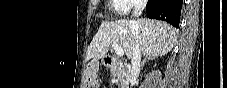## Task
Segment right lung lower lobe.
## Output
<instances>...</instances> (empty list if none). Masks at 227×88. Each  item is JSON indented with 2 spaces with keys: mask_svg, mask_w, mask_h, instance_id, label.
Here are the masks:
<instances>
[{
  "mask_svg": "<svg viewBox=\"0 0 227 88\" xmlns=\"http://www.w3.org/2000/svg\"><path fill=\"white\" fill-rule=\"evenodd\" d=\"M183 0H148L146 13L151 19L166 21L179 27Z\"/></svg>",
  "mask_w": 227,
  "mask_h": 88,
  "instance_id": "obj_1",
  "label": "right lung lower lobe"
}]
</instances>
